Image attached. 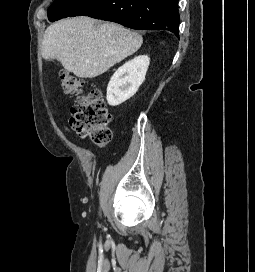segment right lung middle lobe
<instances>
[{
    "mask_svg": "<svg viewBox=\"0 0 255 272\" xmlns=\"http://www.w3.org/2000/svg\"><path fill=\"white\" fill-rule=\"evenodd\" d=\"M89 1L90 0H54L51 7L48 8L49 21L53 22L66 18Z\"/></svg>",
    "mask_w": 255,
    "mask_h": 272,
    "instance_id": "right-lung-middle-lobe-1",
    "label": "right lung middle lobe"
}]
</instances>
